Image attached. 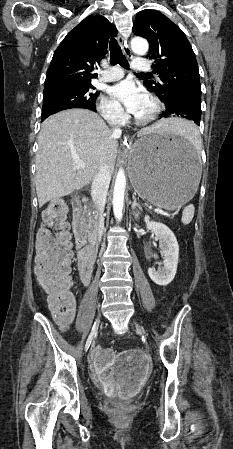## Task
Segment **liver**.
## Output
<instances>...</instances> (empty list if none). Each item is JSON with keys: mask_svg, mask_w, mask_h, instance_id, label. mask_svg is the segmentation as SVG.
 <instances>
[{"mask_svg": "<svg viewBox=\"0 0 233 449\" xmlns=\"http://www.w3.org/2000/svg\"><path fill=\"white\" fill-rule=\"evenodd\" d=\"M180 122L162 119L137 136L173 131ZM38 144L35 182L40 207L88 185L104 159L112 173L118 151L117 137L97 113L86 109H68L48 117L41 125ZM76 160L85 168L76 169Z\"/></svg>", "mask_w": 233, "mask_h": 449, "instance_id": "1", "label": "liver"}]
</instances>
